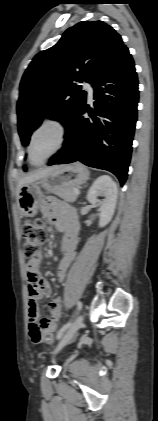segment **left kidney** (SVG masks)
I'll list each match as a JSON object with an SVG mask.
<instances>
[{"instance_id": "1", "label": "left kidney", "mask_w": 158, "mask_h": 421, "mask_svg": "<svg viewBox=\"0 0 158 421\" xmlns=\"http://www.w3.org/2000/svg\"><path fill=\"white\" fill-rule=\"evenodd\" d=\"M117 195V185L109 176L99 177L90 187L87 200L91 204H98L100 206L99 227H104L111 221L115 212ZM99 196H104L105 198L99 200Z\"/></svg>"}]
</instances>
